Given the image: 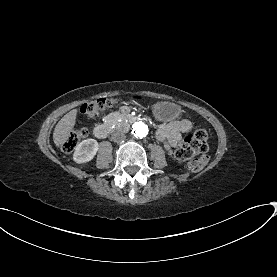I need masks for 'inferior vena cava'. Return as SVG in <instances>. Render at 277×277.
<instances>
[{"mask_svg": "<svg viewBox=\"0 0 277 277\" xmlns=\"http://www.w3.org/2000/svg\"><path fill=\"white\" fill-rule=\"evenodd\" d=\"M111 139L114 142H120V141L125 140V135L122 134V133H119V132H113L112 135H111Z\"/></svg>", "mask_w": 277, "mask_h": 277, "instance_id": "inferior-vena-cava-1", "label": "inferior vena cava"}]
</instances>
